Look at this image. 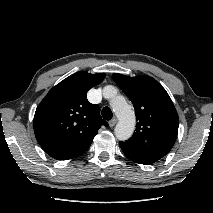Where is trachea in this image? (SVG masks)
I'll use <instances>...</instances> for the list:
<instances>
[{
    "label": "trachea",
    "instance_id": "3493384b",
    "mask_svg": "<svg viewBox=\"0 0 213 213\" xmlns=\"http://www.w3.org/2000/svg\"><path fill=\"white\" fill-rule=\"evenodd\" d=\"M102 117L105 120H111L112 119L113 113H112V111H111V109L109 107H104L102 109Z\"/></svg>",
    "mask_w": 213,
    "mask_h": 213
}]
</instances>
